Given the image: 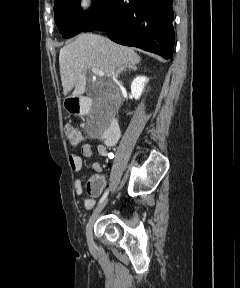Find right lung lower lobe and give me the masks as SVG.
Here are the masks:
<instances>
[{"mask_svg": "<svg viewBox=\"0 0 240 288\" xmlns=\"http://www.w3.org/2000/svg\"><path fill=\"white\" fill-rule=\"evenodd\" d=\"M173 0H109L104 11L83 32L105 31L122 45L172 59Z\"/></svg>", "mask_w": 240, "mask_h": 288, "instance_id": "obj_1", "label": "right lung lower lobe"}]
</instances>
